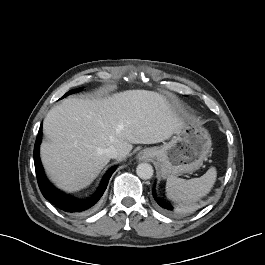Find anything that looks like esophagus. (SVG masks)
Masks as SVG:
<instances>
[{"label":"esophagus","instance_id":"esophagus-1","mask_svg":"<svg viewBox=\"0 0 265 265\" xmlns=\"http://www.w3.org/2000/svg\"><path fill=\"white\" fill-rule=\"evenodd\" d=\"M151 156V153L147 150H142L138 153L137 158L139 160L147 159Z\"/></svg>","mask_w":265,"mask_h":265}]
</instances>
